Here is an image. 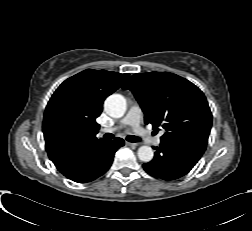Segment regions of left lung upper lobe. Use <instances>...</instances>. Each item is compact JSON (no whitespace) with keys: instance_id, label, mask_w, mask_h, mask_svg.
<instances>
[{"instance_id":"1","label":"left lung upper lobe","mask_w":252,"mask_h":231,"mask_svg":"<svg viewBox=\"0 0 252 231\" xmlns=\"http://www.w3.org/2000/svg\"><path fill=\"white\" fill-rule=\"evenodd\" d=\"M122 87L133 92L146 124L165 129L161 140L208 142L212 114L203 92L190 81L168 72L136 73Z\"/></svg>"}]
</instances>
